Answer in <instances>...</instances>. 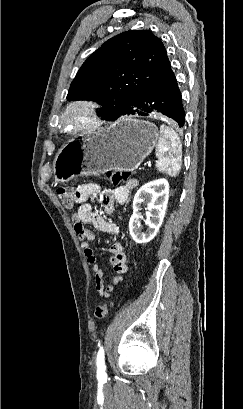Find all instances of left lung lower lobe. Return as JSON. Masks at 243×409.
Segmentation results:
<instances>
[{
	"instance_id": "1",
	"label": "left lung lower lobe",
	"mask_w": 243,
	"mask_h": 409,
	"mask_svg": "<svg viewBox=\"0 0 243 409\" xmlns=\"http://www.w3.org/2000/svg\"><path fill=\"white\" fill-rule=\"evenodd\" d=\"M159 112L175 120L180 127L184 125L185 112L182 106L181 93L172 70L147 88L133 103L114 117L105 120L114 121L126 114L148 116Z\"/></svg>"
}]
</instances>
